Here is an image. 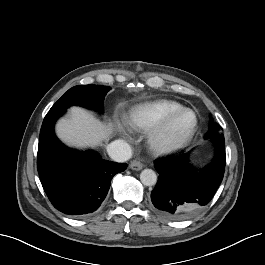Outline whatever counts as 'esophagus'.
Wrapping results in <instances>:
<instances>
[{"label":"esophagus","mask_w":265,"mask_h":265,"mask_svg":"<svg viewBox=\"0 0 265 265\" xmlns=\"http://www.w3.org/2000/svg\"><path fill=\"white\" fill-rule=\"evenodd\" d=\"M129 167L132 170L139 171L143 168V164L139 160H133L131 161Z\"/></svg>","instance_id":"34e87169"}]
</instances>
